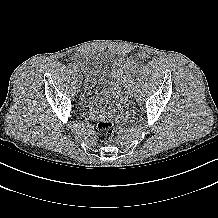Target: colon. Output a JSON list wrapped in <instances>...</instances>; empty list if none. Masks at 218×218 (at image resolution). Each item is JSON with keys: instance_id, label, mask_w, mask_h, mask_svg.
<instances>
[{"instance_id": "5ec220e1", "label": "colon", "mask_w": 218, "mask_h": 218, "mask_svg": "<svg viewBox=\"0 0 218 218\" xmlns=\"http://www.w3.org/2000/svg\"><path fill=\"white\" fill-rule=\"evenodd\" d=\"M114 134V125L110 119H101L97 124V137L101 142H108Z\"/></svg>"}]
</instances>
